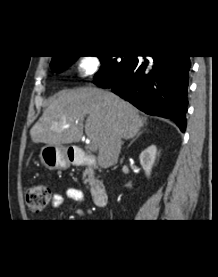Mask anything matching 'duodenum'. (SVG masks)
Returning <instances> with one entry per match:
<instances>
[{
    "mask_svg": "<svg viewBox=\"0 0 218 277\" xmlns=\"http://www.w3.org/2000/svg\"><path fill=\"white\" fill-rule=\"evenodd\" d=\"M69 160L80 167H93L96 162L84 151L71 150ZM92 199L96 206L103 207L107 204V190L101 181H93L90 185Z\"/></svg>",
    "mask_w": 218,
    "mask_h": 277,
    "instance_id": "obj_1",
    "label": "duodenum"
}]
</instances>
